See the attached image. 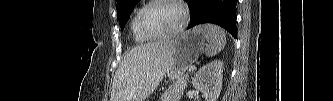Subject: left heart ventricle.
<instances>
[{"instance_id":"left-heart-ventricle-1","label":"left heart ventricle","mask_w":333,"mask_h":101,"mask_svg":"<svg viewBox=\"0 0 333 101\" xmlns=\"http://www.w3.org/2000/svg\"><path fill=\"white\" fill-rule=\"evenodd\" d=\"M180 21V10L171 3H159L152 6L144 18L146 27L154 34L170 32L179 25Z\"/></svg>"}]
</instances>
